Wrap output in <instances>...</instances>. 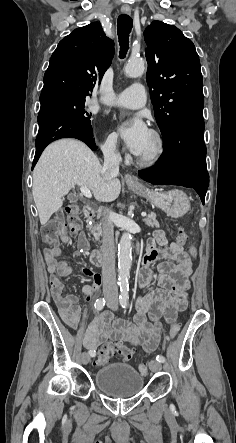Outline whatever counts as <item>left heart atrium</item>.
<instances>
[{
	"mask_svg": "<svg viewBox=\"0 0 236 443\" xmlns=\"http://www.w3.org/2000/svg\"><path fill=\"white\" fill-rule=\"evenodd\" d=\"M118 133L127 147L136 155H139L147 141L150 130L142 115H135L130 119L117 121Z\"/></svg>",
	"mask_w": 236,
	"mask_h": 443,
	"instance_id": "39dd6f15",
	"label": "left heart atrium"
}]
</instances>
